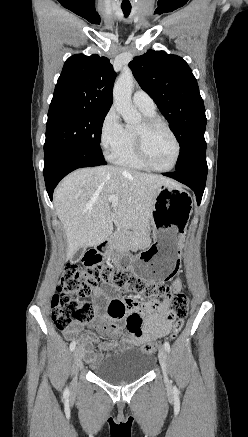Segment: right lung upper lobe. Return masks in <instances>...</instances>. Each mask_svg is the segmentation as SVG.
<instances>
[{
    "instance_id": "cb5924a9",
    "label": "right lung upper lobe",
    "mask_w": 248,
    "mask_h": 437,
    "mask_svg": "<svg viewBox=\"0 0 248 437\" xmlns=\"http://www.w3.org/2000/svg\"><path fill=\"white\" fill-rule=\"evenodd\" d=\"M116 73L106 57H69L57 81L51 104L64 103L108 112Z\"/></svg>"
}]
</instances>
